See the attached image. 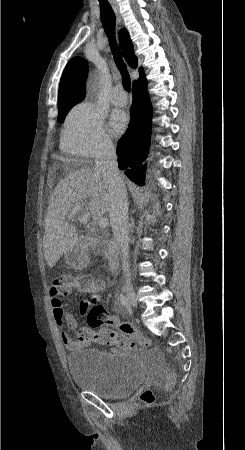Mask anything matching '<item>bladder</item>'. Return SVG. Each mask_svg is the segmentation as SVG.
Masks as SVG:
<instances>
[{"label": "bladder", "instance_id": "bladder-1", "mask_svg": "<svg viewBox=\"0 0 245 450\" xmlns=\"http://www.w3.org/2000/svg\"><path fill=\"white\" fill-rule=\"evenodd\" d=\"M65 361L74 384L100 398L126 397L145 383V367L135 354L90 349L70 353Z\"/></svg>", "mask_w": 245, "mask_h": 450}]
</instances>
